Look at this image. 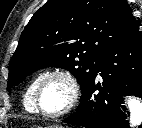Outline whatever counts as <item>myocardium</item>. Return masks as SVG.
<instances>
[{"mask_svg": "<svg viewBox=\"0 0 142 128\" xmlns=\"http://www.w3.org/2000/svg\"><path fill=\"white\" fill-rule=\"evenodd\" d=\"M54 76L60 77L67 82V84L69 86V90H70V97H69V101H68L67 105L62 110H60L58 112L50 113V112L44 111L40 107V91H41L42 83L47 78L54 77ZM80 93H81L80 85H79L76 77L70 71H68L66 69H61V68L48 70V71L42 73V75L38 79V82H37V85L35 88L34 103H35L36 112L41 114L42 116L48 117V118L62 117L64 115L68 114L69 112H71L75 108V106L77 105V103L80 99Z\"/></svg>", "mask_w": 142, "mask_h": 128, "instance_id": "f54148a6", "label": "myocardium"}]
</instances>
